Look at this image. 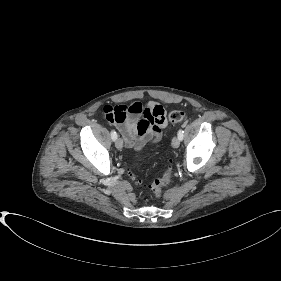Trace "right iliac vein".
Instances as JSON below:
<instances>
[{
  "instance_id": "right-iliac-vein-1",
  "label": "right iliac vein",
  "mask_w": 281,
  "mask_h": 281,
  "mask_svg": "<svg viewBox=\"0 0 281 281\" xmlns=\"http://www.w3.org/2000/svg\"><path fill=\"white\" fill-rule=\"evenodd\" d=\"M115 146H116V148L117 149H122V147H123V141H122V139L121 138H117L116 140H115Z\"/></svg>"
}]
</instances>
